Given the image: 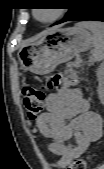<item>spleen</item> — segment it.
I'll use <instances>...</instances> for the list:
<instances>
[{"label": "spleen", "instance_id": "1", "mask_svg": "<svg viewBox=\"0 0 104 169\" xmlns=\"http://www.w3.org/2000/svg\"><path fill=\"white\" fill-rule=\"evenodd\" d=\"M80 26L89 29L93 34V47L90 62H99L104 58V26L98 22H83Z\"/></svg>", "mask_w": 104, "mask_h": 169}]
</instances>
